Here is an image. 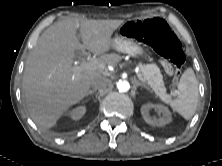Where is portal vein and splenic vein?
I'll return each instance as SVG.
<instances>
[{"instance_id":"18ae733b","label":"portal vein and splenic vein","mask_w":222,"mask_h":166,"mask_svg":"<svg viewBox=\"0 0 222 166\" xmlns=\"http://www.w3.org/2000/svg\"><path fill=\"white\" fill-rule=\"evenodd\" d=\"M98 69H102V65L99 64L96 60L91 59L89 61L84 60L80 66L75 67L74 71L79 72V71H85V70L91 71V70H98ZM137 76L141 81H145L144 77L140 73H137Z\"/></svg>"}]
</instances>
